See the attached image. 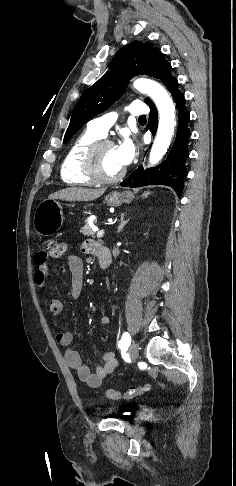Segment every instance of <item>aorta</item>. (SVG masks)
Wrapping results in <instances>:
<instances>
[{
	"label": "aorta",
	"instance_id": "762f6f07",
	"mask_svg": "<svg viewBox=\"0 0 236 486\" xmlns=\"http://www.w3.org/2000/svg\"><path fill=\"white\" fill-rule=\"evenodd\" d=\"M134 87L149 95L159 112L157 134L150 152L149 162L157 164L167 152L175 128V106L167 91L157 82L149 79H138Z\"/></svg>",
	"mask_w": 236,
	"mask_h": 486
}]
</instances>
